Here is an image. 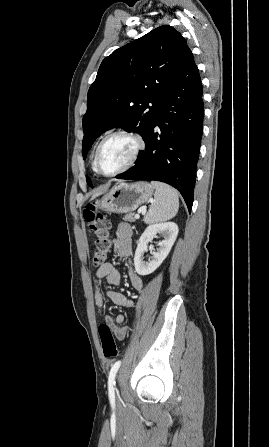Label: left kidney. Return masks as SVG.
I'll return each instance as SVG.
<instances>
[{"label": "left kidney", "mask_w": 269, "mask_h": 447, "mask_svg": "<svg viewBox=\"0 0 269 447\" xmlns=\"http://www.w3.org/2000/svg\"><path fill=\"white\" fill-rule=\"evenodd\" d=\"M156 233H162L164 239L159 241L157 251H152L149 261H143L144 251H147L148 241H152ZM178 235V225L174 222H166V224H153L146 227L142 233L137 249L135 251L134 263L135 269L139 275H148L155 271L161 265L163 259L167 257L176 237Z\"/></svg>", "instance_id": "obj_1"}]
</instances>
